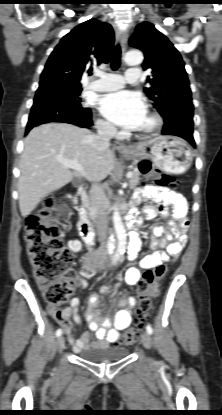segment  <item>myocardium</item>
Wrapping results in <instances>:
<instances>
[{
	"instance_id": "obj_1",
	"label": "myocardium",
	"mask_w": 222,
	"mask_h": 415,
	"mask_svg": "<svg viewBox=\"0 0 222 415\" xmlns=\"http://www.w3.org/2000/svg\"><path fill=\"white\" fill-rule=\"evenodd\" d=\"M146 115L150 119L151 124L147 128L135 131V135L139 138L153 137L163 126V119L158 113L148 109Z\"/></svg>"
}]
</instances>
